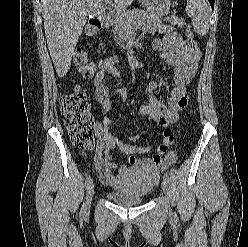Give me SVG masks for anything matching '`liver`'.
I'll list each match as a JSON object with an SVG mask.
<instances>
[{"label": "liver", "instance_id": "1", "mask_svg": "<svg viewBox=\"0 0 248 247\" xmlns=\"http://www.w3.org/2000/svg\"><path fill=\"white\" fill-rule=\"evenodd\" d=\"M134 0H42L45 36L58 77L71 66L72 55L88 15L107 5L126 9Z\"/></svg>", "mask_w": 248, "mask_h": 247}]
</instances>
